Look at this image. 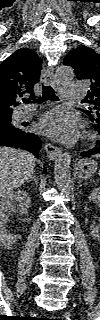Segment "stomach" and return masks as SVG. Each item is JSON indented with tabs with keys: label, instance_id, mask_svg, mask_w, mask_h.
Here are the masks:
<instances>
[{
	"label": "stomach",
	"instance_id": "1",
	"mask_svg": "<svg viewBox=\"0 0 100 320\" xmlns=\"http://www.w3.org/2000/svg\"><path fill=\"white\" fill-rule=\"evenodd\" d=\"M98 169L97 161L93 159H84L76 165V172L79 178L89 179Z\"/></svg>",
	"mask_w": 100,
	"mask_h": 320
}]
</instances>
